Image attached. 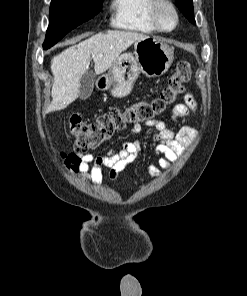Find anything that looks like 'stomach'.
Returning <instances> with one entry per match:
<instances>
[{
  "instance_id": "obj_1",
  "label": "stomach",
  "mask_w": 247,
  "mask_h": 296,
  "mask_svg": "<svg viewBox=\"0 0 247 296\" xmlns=\"http://www.w3.org/2000/svg\"><path fill=\"white\" fill-rule=\"evenodd\" d=\"M173 59V49L164 41L155 37L137 41L134 53L121 54L107 73L97 78L96 86L114 97H125L140 73L149 78L160 77L168 71Z\"/></svg>"
}]
</instances>
